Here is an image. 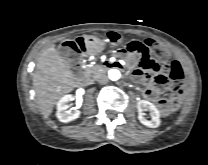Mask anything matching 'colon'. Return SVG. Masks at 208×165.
Wrapping results in <instances>:
<instances>
[{"label":"colon","instance_id":"1","mask_svg":"<svg viewBox=\"0 0 208 165\" xmlns=\"http://www.w3.org/2000/svg\"><path fill=\"white\" fill-rule=\"evenodd\" d=\"M109 43L113 46L123 45L122 37L116 32H109L107 35ZM80 46L74 41H67L62 45V52L65 55L77 54ZM124 51H127L137 57L143 70L149 73L159 68V61L166 56V50L159 44L147 40L145 42L129 41L124 44ZM182 93V83L172 84V95L160 101L162 113L167 114L178 107V96Z\"/></svg>","mask_w":208,"mask_h":165}]
</instances>
